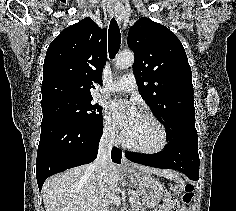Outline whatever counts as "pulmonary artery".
<instances>
[{
  "mask_svg": "<svg viewBox=\"0 0 236 211\" xmlns=\"http://www.w3.org/2000/svg\"><path fill=\"white\" fill-rule=\"evenodd\" d=\"M137 88V81L133 75H124L110 87L111 92H132Z\"/></svg>",
  "mask_w": 236,
  "mask_h": 211,
  "instance_id": "obj_1",
  "label": "pulmonary artery"
}]
</instances>
